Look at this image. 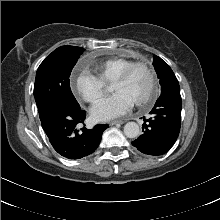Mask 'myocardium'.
<instances>
[{
	"label": "myocardium",
	"mask_w": 220,
	"mask_h": 220,
	"mask_svg": "<svg viewBox=\"0 0 220 220\" xmlns=\"http://www.w3.org/2000/svg\"><path fill=\"white\" fill-rule=\"evenodd\" d=\"M144 69L149 76V90L144 98L135 102L137 106H145L153 102L157 95V78L156 74L147 61H138L128 66L116 79L115 83L126 82L137 69Z\"/></svg>",
	"instance_id": "myocardium-1"
}]
</instances>
